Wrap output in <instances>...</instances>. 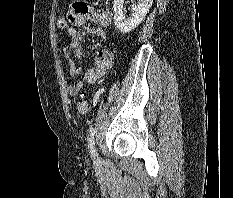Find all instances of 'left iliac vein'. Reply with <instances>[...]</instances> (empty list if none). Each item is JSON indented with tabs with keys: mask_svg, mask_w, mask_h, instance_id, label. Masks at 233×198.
Masks as SVG:
<instances>
[{
	"mask_svg": "<svg viewBox=\"0 0 233 198\" xmlns=\"http://www.w3.org/2000/svg\"><path fill=\"white\" fill-rule=\"evenodd\" d=\"M93 158L95 159V160H97L98 159V155L95 153V154H93Z\"/></svg>",
	"mask_w": 233,
	"mask_h": 198,
	"instance_id": "obj_1",
	"label": "left iliac vein"
}]
</instances>
